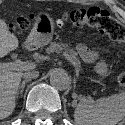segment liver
Returning a JSON list of instances; mask_svg holds the SVG:
<instances>
[{"instance_id":"obj_1","label":"liver","mask_w":125,"mask_h":125,"mask_svg":"<svg viewBox=\"0 0 125 125\" xmlns=\"http://www.w3.org/2000/svg\"><path fill=\"white\" fill-rule=\"evenodd\" d=\"M19 42L11 33L6 23L0 19V57L17 49ZM23 73L13 71H0V119L8 117L16 106V93Z\"/></svg>"}]
</instances>
